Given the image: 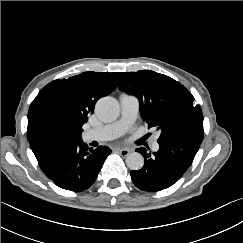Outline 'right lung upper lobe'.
<instances>
[{
	"instance_id": "cb5924a9",
	"label": "right lung upper lobe",
	"mask_w": 243,
	"mask_h": 243,
	"mask_svg": "<svg viewBox=\"0 0 243 243\" xmlns=\"http://www.w3.org/2000/svg\"><path fill=\"white\" fill-rule=\"evenodd\" d=\"M121 74L89 71L47 84L30 105L27 137L49 131L47 118L52 113L62 115L75 129L82 130L88 115L94 112L96 102L115 90Z\"/></svg>"
}]
</instances>
